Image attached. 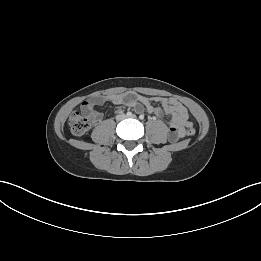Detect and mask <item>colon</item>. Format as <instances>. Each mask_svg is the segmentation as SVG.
<instances>
[{
  "label": "colon",
  "mask_w": 261,
  "mask_h": 261,
  "mask_svg": "<svg viewBox=\"0 0 261 261\" xmlns=\"http://www.w3.org/2000/svg\"><path fill=\"white\" fill-rule=\"evenodd\" d=\"M92 120L89 114L74 112L69 118L71 132L76 136H82L89 129ZM186 133L190 136L194 134V127L190 122L186 126Z\"/></svg>",
  "instance_id": "1"
}]
</instances>
